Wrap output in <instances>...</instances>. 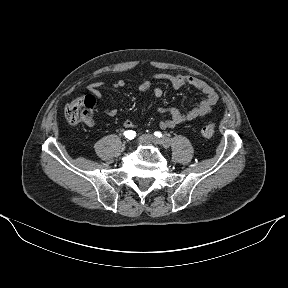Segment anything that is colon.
Segmentation results:
<instances>
[{
    "label": "colon",
    "instance_id": "colon-1",
    "mask_svg": "<svg viewBox=\"0 0 288 288\" xmlns=\"http://www.w3.org/2000/svg\"><path fill=\"white\" fill-rule=\"evenodd\" d=\"M96 105V99L92 95L78 97L68 103L64 110V116L68 124L75 126L80 123L92 121V114ZM214 123H209L201 128V135L210 138L215 132Z\"/></svg>",
    "mask_w": 288,
    "mask_h": 288
}]
</instances>
